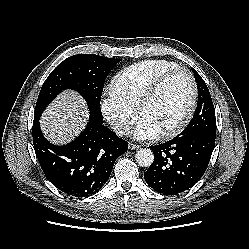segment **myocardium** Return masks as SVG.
<instances>
[{
    "label": "myocardium",
    "mask_w": 249,
    "mask_h": 249,
    "mask_svg": "<svg viewBox=\"0 0 249 249\" xmlns=\"http://www.w3.org/2000/svg\"><path fill=\"white\" fill-rule=\"evenodd\" d=\"M178 72H184L189 79L190 90H191L189 105H188L186 112L184 113V115L181 117V119L177 123H175L173 126L167 128V129L161 131V135L164 137H170V136L176 135L179 132H181L188 125V123L190 122V120L192 119V117L194 115V112L196 110V105H197L198 89H197V84H196V80H195L193 73L186 67L177 66V67L169 69V70L165 71L164 73L160 74L152 82V84L149 86V88L146 90V92L142 96V98L138 104V107H137L138 114L140 116H142L145 108L155 98V96L159 92V90L162 87V85L164 84V82L169 77H171L172 75H174L175 73H178Z\"/></svg>",
    "instance_id": "obj_1"
}]
</instances>
